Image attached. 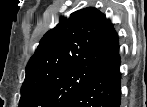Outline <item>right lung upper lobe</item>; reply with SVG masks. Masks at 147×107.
Returning <instances> with one entry per match:
<instances>
[{
  "instance_id": "right-lung-upper-lobe-1",
  "label": "right lung upper lobe",
  "mask_w": 147,
  "mask_h": 107,
  "mask_svg": "<svg viewBox=\"0 0 147 107\" xmlns=\"http://www.w3.org/2000/svg\"><path fill=\"white\" fill-rule=\"evenodd\" d=\"M118 48L111 21L95 8H84L61 19L43 36L26 66V76L76 67L100 69Z\"/></svg>"
}]
</instances>
